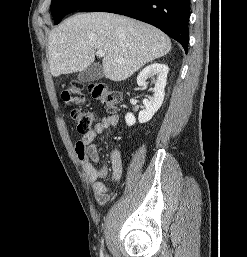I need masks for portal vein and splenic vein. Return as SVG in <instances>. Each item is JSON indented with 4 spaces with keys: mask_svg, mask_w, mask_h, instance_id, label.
<instances>
[{
    "mask_svg": "<svg viewBox=\"0 0 247 257\" xmlns=\"http://www.w3.org/2000/svg\"><path fill=\"white\" fill-rule=\"evenodd\" d=\"M99 57H104L105 56V52L103 50H98L96 53ZM116 61H123L122 59H116Z\"/></svg>",
    "mask_w": 247,
    "mask_h": 257,
    "instance_id": "18ae733b",
    "label": "portal vein and splenic vein"
}]
</instances>
